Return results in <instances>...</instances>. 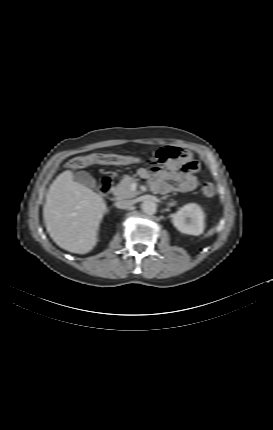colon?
<instances>
[{
	"mask_svg": "<svg viewBox=\"0 0 273 430\" xmlns=\"http://www.w3.org/2000/svg\"><path fill=\"white\" fill-rule=\"evenodd\" d=\"M141 157L118 155V154H90L86 156H79L71 159L68 167L71 170H77L89 167L95 164L110 165V164H132L141 161ZM202 192L206 197H213L216 193L215 186L210 182H205L202 185Z\"/></svg>",
	"mask_w": 273,
	"mask_h": 430,
	"instance_id": "colon-1",
	"label": "colon"
}]
</instances>
